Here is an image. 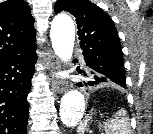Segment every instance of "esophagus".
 Here are the masks:
<instances>
[{
    "mask_svg": "<svg viewBox=\"0 0 153 134\" xmlns=\"http://www.w3.org/2000/svg\"><path fill=\"white\" fill-rule=\"evenodd\" d=\"M47 64L51 75L52 87L55 92L59 94L66 92V83L55 76V73L60 70V62L51 50L48 51Z\"/></svg>",
    "mask_w": 153,
    "mask_h": 134,
    "instance_id": "34e87169",
    "label": "esophagus"
}]
</instances>
